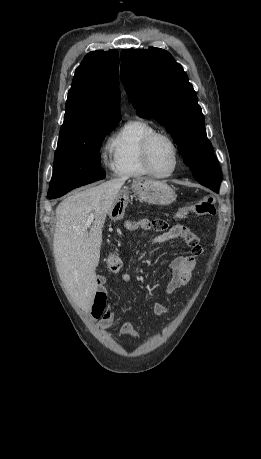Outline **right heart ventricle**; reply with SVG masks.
Returning <instances> with one entry per match:
<instances>
[{"label":"right heart ventricle","instance_id":"obj_1","mask_svg":"<svg viewBox=\"0 0 261 459\" xmlns=\"http://www.w3.org/2000/svg\"><path fill=\"white\" fill-rule=\"evenodd\" d=\"M155 127L145 120H132L113 137L109 144L114 172L120 177L149 174L142 160V145Z\"/></svg>","mask_w":261,"mask_h":459}]
</instances>
